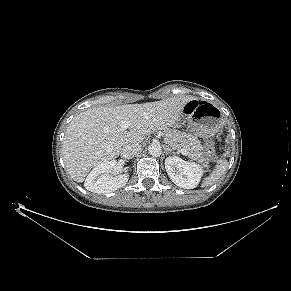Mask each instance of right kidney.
<instances>
[{
  "label": "right kidney",
  "instance_id": "right-kidney-1",
  "mask_svg": "<svg viewBox=\"0 0 291 291\" xmlns=\"http://www.w3.org/2000/svg\"><path fill=\"white\" fill-rule=\"evenodd\" d=\"M119 164L116 160H110L96 166L87 176L84 186L94 193H110L126 185L129 175L126 173L116 175Z\"/></svg>",
  "mask_w": 291,
  "mask_h": 291
}]
</instances>
